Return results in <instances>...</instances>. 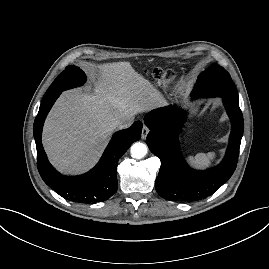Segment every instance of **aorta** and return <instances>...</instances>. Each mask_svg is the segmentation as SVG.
Wrapping results in <instances>:
<instances>
[{"label":"aorta","mask_w":269,"mask_h":269,"mask_svg":"<svg viewBox=\"0 0 269 269\" xmlns=\"http://www.w3.org/2000/svg\"><path fill=\"white\" fill-rule=\"evenodd\" d=\"M130 152L133 158L141 159L147 154L148 147L145 143L136 142L131 146Z\"/></svg>","instance_id":"obj_1"}]
</instances>
